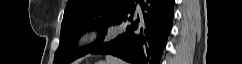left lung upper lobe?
Instances as JSON below:
<instances>
[{
    "mask_svg": "<svg viewBox=\"0 0 242 64\" xmlns=\"http://www.w3.org/2000/svg\"><path fill=\"white\" fill-rule=\"evenodd\" d=\"M134 0H68L60 33V44L53 64H69L101 43L108 27ZM98 29L100 37L88 47L74 50L78 38L86 31Z\"/></svg>",
    "mask_w": 242,
    "mask_h": 64,
    "instance_id": "obj_1",
    "label": "left lung upper lobe"
}]
</instances>
